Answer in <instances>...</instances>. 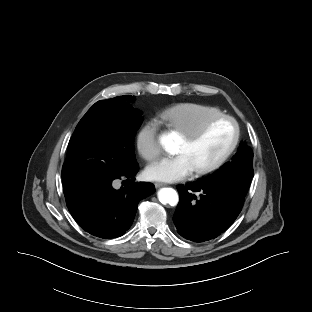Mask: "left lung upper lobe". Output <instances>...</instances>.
Instances as JSON below:
<instances>
[{"label": "left lung upper lobe", "instance_id": "1", "mask_svg": "<svg viewBox=\"0 0 312 312\" xmlns=\"http://www.w3.org/2000/svg\"><path fill=\"white\" fill-rule=\"evenodd\" d=\"M252 177L253 151L246 143H241L231 162L204 179L227 182L246 196Z\"/></svg>", "mask_w": 312, "mask_h": 312}]
</instances>
